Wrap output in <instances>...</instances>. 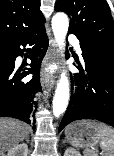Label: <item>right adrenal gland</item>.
<instances>
[{
  "instance_id": "obj_1",
  "label": "right adrenal gland",
  "mask_w": 114,
  "mask_h": 156,
  "mask_svg": "<svg viewBox=\"0 0 114 156\" xmlns=\"http://www.w3.org/2000/svg\"><path fill=\"white\" fill-rule=\"evenodd\" d=\"M29 141H30V140H29V138H26V142H28V143H29Z\"/></svg>"
}]
</instances>
